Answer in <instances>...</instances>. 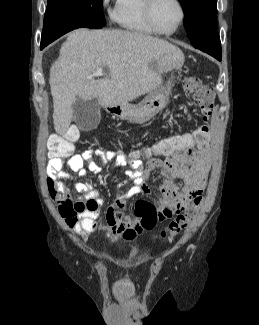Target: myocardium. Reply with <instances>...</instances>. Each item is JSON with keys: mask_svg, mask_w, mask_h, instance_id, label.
<instances>
[{"mask_svg": "<svg viewBox=\"0 0 259 325\" xmlns=\"http://www.w3.org/2000/svg\"><path fill=\"white\" fill-rule=\"evenodd\" d=\"M174 1L176 2L177 6L179 8V11H180L179 20H178L176 26L174 27V29H172L170 31H162L156 26V24L154 22V19H153V15H152L153 6H154L156 0H144V6H143L144 17H145V20H146L147 24L150 26V28L155 33L160 34V35H165V36L172 35L183 24L184 19H185V7H184L181 0H174Z\"/></svg>", "mask_w": 259, "mask_h": 325, "instance_id": "f54148a6", "label": "myocardium"}]
</instances>
